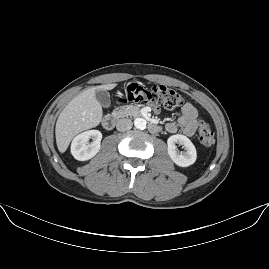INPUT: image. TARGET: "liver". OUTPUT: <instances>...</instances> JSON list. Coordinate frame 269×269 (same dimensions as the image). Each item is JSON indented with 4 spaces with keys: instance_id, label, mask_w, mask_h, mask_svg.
Returning <instances> with one entry per match:
<instances>
[{
    "instance_id": "obj_1",
    "label": "liver",
    "mask_w": 269,
    "mask_h": 269,
    "mask_svg": "<svg viewBox=\"0 0 269 269\" xmlns=\"http://www.w3.org/2000/svg\"><path fill=\"white\" fill-rule=\"evenodd\" d=\"M116 85L112 83L91 87L67 104L57 119L55 129L56 143L61 153L67 150L78 133L99 125L102 120V107L95 97L96 92L111 90Z\"/></svg>"
}]
</instances>
